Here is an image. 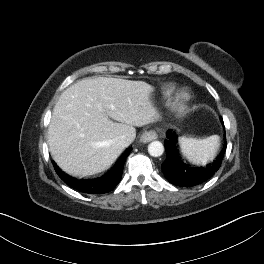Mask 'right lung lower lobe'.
Wrapping results in <instances>:
<instances>
[{"instance_id": "98d812e1", "label": "right lung lower lobe", "mask_w": 264, "mask_h": 264, "mask_svg": "<svg viewBox=\"0 0 264 264\" xmlns=\"http://www.w3.org/2000/svg\"><path fill=\"white\" fill-rule=\"evenodd\" d=\"M130 151L131 148H128L114 167H112L106 174L91 180H76L70 178L59 170L55 164L54 167L58 176L74 189L89 194H103L113 190L120 182L124 163Z\"/></svg>"}]
</instances>
